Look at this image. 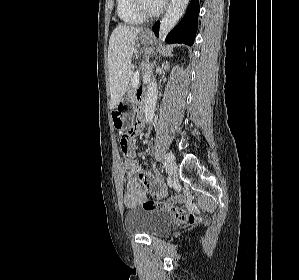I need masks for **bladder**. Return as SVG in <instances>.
I'll return each mask as SVG.
<instances>
[{"instance_id": "1", "label": "bladder", "mask_w": 299, "mask_h": 280, "mask_svg": "<svg viewBox=\"0 0 299 280\" xmlns=\"http://www.w3.org/2000/svg\"><path fill=\"white\" fill-rule=\"evenodd\" d=\"M171 226L170 216L160 210L135 209L125 216V227L132 234L158 237L165 235Z\"/></svg>"}]
</instances>
